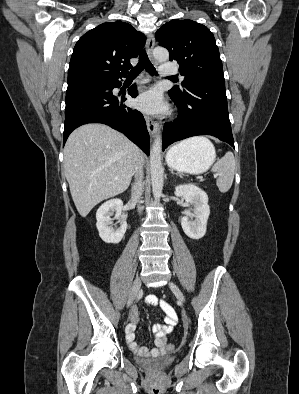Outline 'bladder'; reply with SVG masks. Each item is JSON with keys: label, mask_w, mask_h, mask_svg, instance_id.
Returning <instances> with one entry per match:
<instances>
[{"label": "bladder", "mask_w": 299, "mask_h": 394, "mask_svg": "<svg viewBox=\"0 0 299 394\" xmlns=\"http://www.w3.org/2000/svg\"><path fill=\"white\" fill-rule=\"evenodd\" d=\"M175 360L172 355L160 356L153 359H139L138 364L148 370H162L171 365Z\"/></svg>", "instance_id": "obj_1"}]
</instances>
